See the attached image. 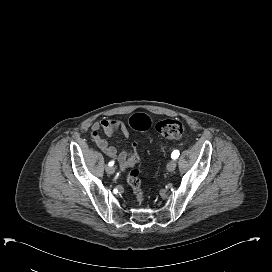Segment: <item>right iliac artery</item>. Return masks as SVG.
<instances>
[{
	"label": "right iliac artery",
	"instance_id": "1",
	"mask_svg": "<svg viewBox=\"0 0 272 272\" xmlns=\"http://www.w3.org/2000/svg\"><path fill=\"white\" fill-rule=\"evenodd\" d=\"M108 165H109V166H113V165H114V161L109 162Z\"/></svg>",
	"mask_w": 272,
	"mask_h": 272
}]
</instances>
